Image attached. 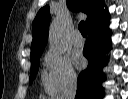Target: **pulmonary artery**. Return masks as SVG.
<instances>
[{"label": "pulmonary artery", "mask_w": 128, "mask_h": 99, "mask_svg": "<svg viewBox=\"0 0 128 99\" xmlns=\"http://www.w3.org/2000/svg\"><path fill=\"white\" fill-rule=\"evenodd\" d=\"M72 42L75 46H82L84 44V39L80 33L76 32L72 38Z\"/></svg>", "instance_id": "obj_1"}]
</instances>
